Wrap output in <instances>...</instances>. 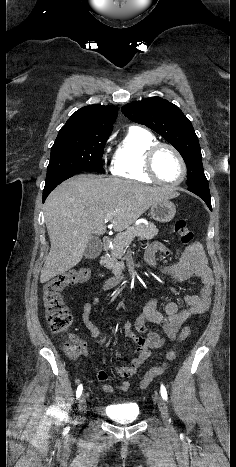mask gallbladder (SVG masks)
Returning <instances> with one entry per match:
<instances>
[{
	"label": "gallbladder",
	"mask_w": 236,
	"mask_h": 467,
	"mask_svg": "<svg viewBox=\"0 0 236 467\" xmlns=\"http://www.w3.org/2000/svg\"><path fill=\"white\" fill-rule=\"evenodd\" d=\"M102 251V242L97 237H92L85 248L84 256L87 259H95Z\"/></svg>",
	"instance_id": "1"
}]
</instances>
